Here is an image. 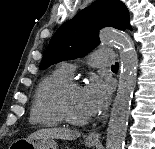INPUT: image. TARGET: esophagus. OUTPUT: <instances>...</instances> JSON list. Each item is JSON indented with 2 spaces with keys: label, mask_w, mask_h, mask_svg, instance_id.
<instances>
[{
  "label": "esophagus",
  "mask_w": 155,
  "mask_h": 149,
  "mask_svg": "<svg viewBox=\"0 0 155 149\" xmlns=\"http://www.w3.org/2000/svg\"><path fill=\"white\" fill-rule=\"evenodd\" d=\"M101 138V134L99 132H91L87 136L88 141L99 142Z\"/></svg>",
  "instance_id": "esophagus-1"
}]
</instances>
